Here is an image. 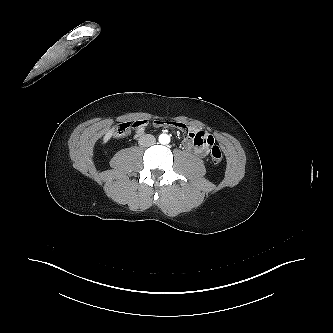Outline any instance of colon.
Returning a JSON list of instances; mask_svg holds the SVG:
<instances>
[{
    "instance_id": "obj_1",
    "label": "colon",
    "mask_w": 333,
    "mask_h": 333,
    "mask_svg": "<svg viewBox=\"0 0 333 333\" xmlns=\"http://www.w3.org/2000/svg\"><path fill=\"white\" fill-rule=\"evenodd\" d=\"M132 127H134V124H131L129 122L121 123L115 131V136L117 138H124V137L129 136L131 133ZM210 156H211V161L214 164H219L223 159L221 149L217 145H214V144L211 146Z\"/></svg>"
}]
</instances>
